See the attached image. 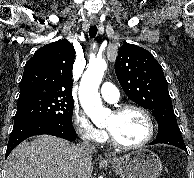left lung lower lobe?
I'll list each match as a JSON object with an SVG mask.
<instances>
[{
	"label": "left lung lower lobe",
	"instance_id": "left-lung-lower-lobe-1",
	"mask_svg": "<svg viewBox=\"0 0 194 178\" xmlns=\"http://www.w3.org/2000/svg\"><path fill=\"white\" fill-rule=\"evenodd\" d=\"M158 143L176 146L187 153L176 119H169L159 124L156 140L152 141L150 144L153 145Z\"/></svg>",
	"mask_w": 194,
	"mask_h": 178
}]
</instances>
